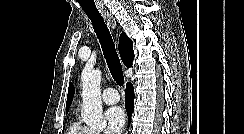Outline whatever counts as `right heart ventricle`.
<instances>
[{"mask_svg":"<svg viewBox=\"0 0 244 134\" xmlns=\"http://www.w3.org/2000/svg\"><path fill=\"white\" fill-rule=\"evenodd\" d=\"M66 134H95L85 126H83L79 121L74 120L69 125Z\"/></svg>","mask_w":244,"mask_h":134,"instance_id":"obj_1","label":"right heart ventricle"}]
</instances>
